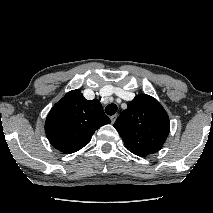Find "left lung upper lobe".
<instances>
[{"mask_svg": "<svg viewBox=\"0 0 213 213\" xmlns=\"http://www.w3.org/2000/svg\"><path fill=\"white\" fill-rule=\"evenodd\" d=\"M114 127L132 153L145 157L162 148L169 134L170 122L155 98L140 94L129 102Z\"/></svg>", "mask_w": 213, "mask_h": 213, "instance_id": "obj_1", "label": "left lung upper lobe"}]
</instances>
